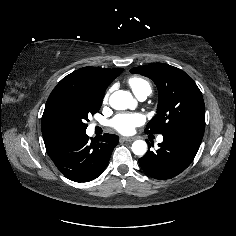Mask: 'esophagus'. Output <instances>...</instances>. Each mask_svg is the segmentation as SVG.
<instances>
[{
	"instance_id": "obj_1",
	"label": "esophagus",
	"mask_w": 236,
	"mask_h": 236,
	"mask_svg": "<svg viewBox=\"0 0 236 236\" xmlns=\"http://www.w3.org/2000/svg\"><path fill=\"white\" fill-rule=\"evenodd\" d=\"M121 139L127 142H132L135 140V137H122Z\"/></svg>"
}]
</instances>
